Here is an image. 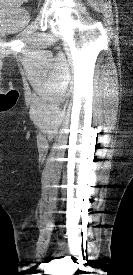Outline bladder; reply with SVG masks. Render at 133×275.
I'll return each mask as SVG.
<instances>
[{
    "label": "bladder",
    "mask_w": 133,
    "mask_h": 275,
    "mask_svg": "<svg viewBox=\"0 0 133 275\" xmlns=\"http://www.w3.org/2000/svg\"><path fill=\"white\" fill-rule=\"evenodd\" d=\"M15 0H0V31L20 32L30 22V11L14 5Z\"/></svg>",
    "instance_id": "1"
}]
</instances>
